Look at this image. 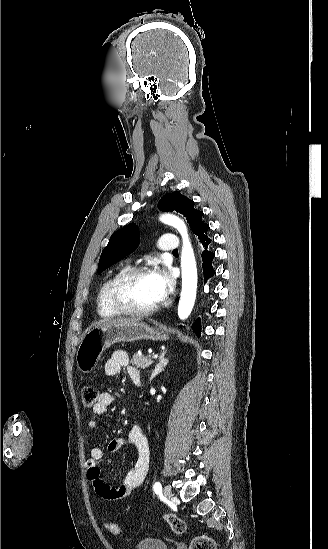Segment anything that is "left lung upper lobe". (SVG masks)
<instances>
[{
  "mask_svg": "<svg viewBox=\"0 0 328 549\" xmlns=\"http://www.w3.org/2000/svg\"><path fill=\"white\" fill-rule=\"evenodd\" d=\"M162 211H176L187 217V222L198 239L206 236L209 225L202 221L203 212L194 208V201L179 191L165 194L159 201ZM140 237L135 224H128L116 231L103 249L99 260L98 273H101L121 258L132 253L139 245Z\"/></svg>",
  "mask_w": 328,
  "mask_h": 549,
  "instance_id": "1",
  "label": "left lung upper lobe"
}]
</instances>
